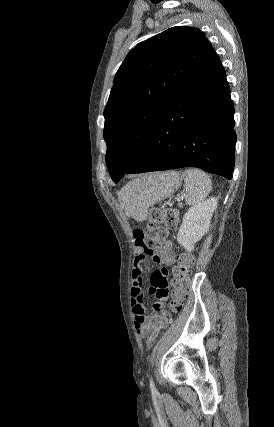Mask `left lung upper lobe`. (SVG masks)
<instances>
[{"mask_svg": "<svg viewBox=\"0 0 274 427\" xmlns=\"http://www.w3.org/2000/svg\"><path fill=\"white\" fill-rule=\"evenodd\" d=\"M211 50L205 33L175 26L128 53L104 110L111 178L126 172L141 155L163 112Z\"/></svg>", "mask_w": 274, "mask_h": 427, "instance_id": "left-lung-upper-lobe-1", "label": "left lung upper lobe"}]
</instances>
